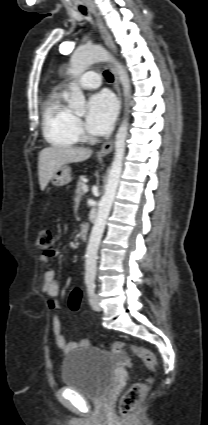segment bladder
Here are the masks:
<instances>
[{
  "label": "bladder",
  "instance_id": "31cf9c89",
  "mask_svg": "<svg viewBox=\"0 0 208 425\" xmlns=\"http://www.w3.org/2000/svg\"><path fill=\"white\" fill-rule=\"evenodd\" d=\"M62 382L91 400L102 399L115 380V358L92 346L72 351L65 359Z\"/></svg>",
  "mask_w": 208,
  "mask_h": 425
}]
</instances>
